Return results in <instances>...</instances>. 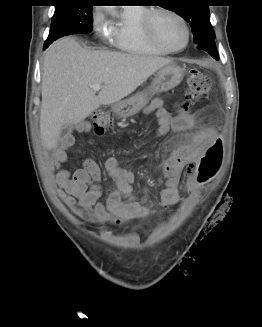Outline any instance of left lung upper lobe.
<instances>
[{
	"label": "left lung upper lobe",
	"mask_w": 262,
	"mask_h": 327,
	"mask_svg": "<svg viewBox=\"0 0 262 327\" xmlns=\"http://www.w3.org/2000/svg\"><path fill=\"white\" fill-rule=\"evenodd\" d=\"M184 0H169L166 1V8L172 10L182 16L191 26L194 42L199 43L208 39H214L215 34L212 29L209 17V8L207 5H202L200 0H191L196 4L184 5Z\"/></svg>",
	"instance_id": "5c2ea615"
}]
</instances>
